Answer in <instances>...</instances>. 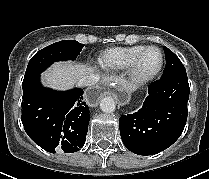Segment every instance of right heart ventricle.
<instances>
[{
  "instance_id": "1",
  "label": "right heart ventricle",
  "mask_w": 209,
  "mask_h": 179,
  "mask_svg": "<svg viewBox=\"0 0 209 179\" xmlns=\"http://www.w3.org/2000/svg\"><path fill=\"white\" fill-rule=\"evenodd\" d=\"M144 47L132 45L106 49L99 55L97 64L105 72H121L127 69L134 56Z\"/></svg>"
}]
</instances>
